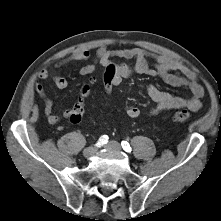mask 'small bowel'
Here are the masks:
<instances>
[{
	"instance_id": "obj_1",
	"label": "small bowel",
	"mask_w": 221,
	"mask_h": 221,
	"mask_svg": "<svg viewBox=\"0 0 221 221\" xmlns=\"http://www.w3.org/2000/svg\"><path fill=\"white\" fill-rule=\"evenodd\" d=\"M116 59L133 60L134 63L127 65L117 62L120 68L114 74L113 87L121 84L124 79L134 74H146L159 77L169 85L186 88L190 91L189 97H182L153 85L147 86L146 92L154 102V106L149 111L151 115H158L168 110L180 108L196 111L202 106L201 99L204 95V88L198 82L197 75L192 69L169 56L155 55L151 57L147 51L140 48L112 51L103 45L94 54L88 49H80L69 54L63 61L56 63L54 68L60 69L73 62L92 60L91 63L80 69V74L88 75L95 70L97 64L105 68L109 61H116ZM38 78L39 80L35 83V91L44 102V113L48 121L56 124L61 119H69L73 108L66 109L61 116L57 115L53 109V101L48 97L40 82V80L51 79L58 89H65L68 86L67 80L62 76L53 74L47 68L40 71ZM140 113L141 111L137 106H130L126 110L127 116L133 119L139 117Z\"/></svg>"
}]
</instances>
